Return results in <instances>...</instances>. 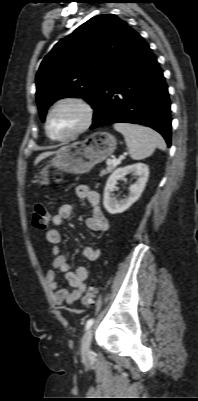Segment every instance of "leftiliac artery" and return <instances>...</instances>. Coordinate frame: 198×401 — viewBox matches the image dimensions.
I'll return each mask as SVG.
<instances>
[{"mask_svg":"<svg viewBox=\"0 0 198 401\" xmlns=\"http://www.w3.org/2000/svg\"><path fill=\"white\" fill-rule=\"evenodd\" d=\"M93 322H94L93 319H89V320L87 321V323H86L85 329H89V328L92 326Z\"/></svg>","mask_w":198,"mask_h":401,"instance_id":"44dca946","label":"left iliac artery"}]
</instances>
